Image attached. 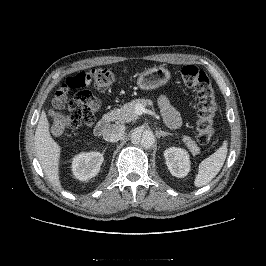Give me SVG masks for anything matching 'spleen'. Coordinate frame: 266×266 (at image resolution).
Here are the masks:
<instances>
[{
    "mask_svg": "<svg viewBox=\"0 0 266 266\" xmlns=\"http://www.w3.org/2000/svg\"><path fill=\"white\" fill-rule=\"evenodd\" d=\"M228 143L225 140L221 147L209 157L205 158L200 164L194 185L202 187L211 182L221 170L227 156Z\"/></svg>",
    "mask_w": 266,
    "mask_h": 266,
    "instance_id": "1",
    "label": "spleen"
}]
</instances>
